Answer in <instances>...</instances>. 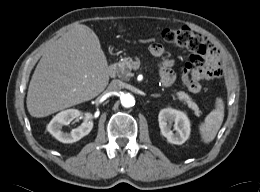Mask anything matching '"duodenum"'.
<instances>
[{"mask_svg":"<svg viewBox=\"0 0 260 192\" xmlns=\"http://www.w3.org/2000/svg\"><path fill=\"white\" fill-rule=\"evenodd\" d=\"M115 72H116V68L114 65H110L109 68H108V73L110 76H113L115 75Z\"/></svg>","mask_w":260,"mask_h":192,"instance_id":"1","label":"duodenum"}]
</instances>
